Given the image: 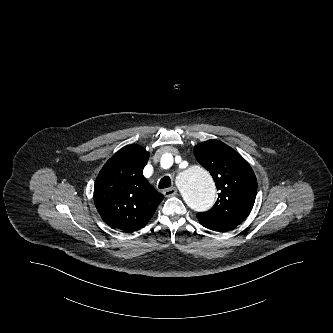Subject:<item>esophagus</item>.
<instances>
[{
  "mask_svg": "<svg viewBox=\"0 0 333 333\" xmlns=\"http://www.w3.org/2000/svg\"><path fill=\"white\" fill-rule=\"evenodd\" d=\"M163 194L165 197H173V196L177 195V189H176V187L167 188L163 191Z\"/></svg>",
  "mask_w": 333,
  "mask_h": 333,
  "instance_id": "1",
  "label": "esophagus"
}]
</instances>
